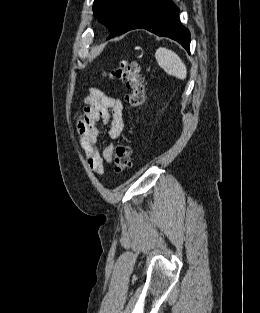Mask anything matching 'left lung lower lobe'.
<instances>
[{
	"label": "left lung lower lobe",
	"instance_id": "left-lung-lower-lobe-1",
	"mask_svg": "<svg viewBox=\"0 0 260 313\" xmlns=\"http://www.w3.org/2000/svg\"><path fill=\"white\" fill-rule=\"evenodd\" d=\"M143 28L158 36L169 37L179 42L188 52L190 33L179 20V9L171 0H153L125 29Z\"/></svg>",
	"mask_w": 260,
	"mask_h": 313
}]
</instances>
